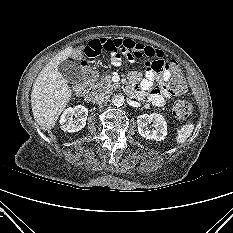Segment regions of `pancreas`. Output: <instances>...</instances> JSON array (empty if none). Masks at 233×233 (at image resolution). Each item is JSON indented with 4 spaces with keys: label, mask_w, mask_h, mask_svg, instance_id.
<instances>
[{
    "label": "pancreas",
    "mask_w": 233,
    "mask_h": 233,
    "mask_svg": "<svg viewBox=\"0 0 233 233\" xmlns=\"http://www.w3.org/2000/svg\"><path fill=\"white\" fill-rule=\"evenodd\" d=\"M96 87L100 90V91H105V92H111L113 89L118 88V84H115L112 82L111 76L107 75L104 78L101 79V81H99L96 84Z\"/></svg>",
    "instance_id": "obj_1"
}]
</instances>
